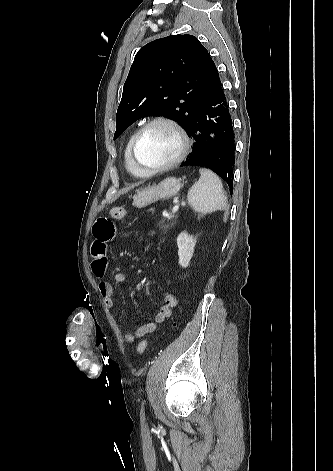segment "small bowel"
Returning <instances> with one entry per match:
<instances>
[{
    "label": "small bowel",
    "instance_id": "small-bowel-1",
    "mask_svg": "<svg viewBox=\"0 0 333 471\" xmlns=\"http://www.w3.org/2000/svg\"><path fill=\"white\" fill-rule=\"evenodd\" d=\"M115 233V225L109 217L102 216L96 219L93 225L94 241L91 246V255L93 257L92 270L99 279H103L107 273V245L114 238ZM113 280L116 284H121L125 281V275L121 272H117L114 274ZM98 287L104 305L108 308H112L114 306L113 285L108 281L101 280ZM177 304V297L173 293H166L163 298V305L155 314L154 321L139 326L134 333H126L125 340L128 343H133L137 339L154 332L158 324L163 323L172 316L173 310Z\"/></svg>",
    "mask_w": 333,
    "mask_h": 471
}]
</instances>
